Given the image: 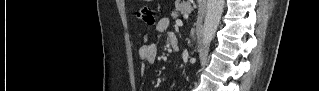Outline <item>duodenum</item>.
Returning <instances> with one entry per match:
<instances>
[{"mask_svg":"<svg viewBox=\"0 0 319 91\" xmlns=\"http://www.w3.org/2000/svg\"><path fill=\"white\" fill-rule=\"evenodd\" d=\"M170 45H171V48L173 50H178L179 49V42H178V39L175 35H172L170 37Z\"/></svg>","mask_w":319,"mask_h":91,"instance_id":"duodenum-1","label":"duodenum"}]
</instances>
